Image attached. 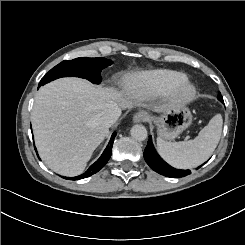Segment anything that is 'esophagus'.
I'll use <instances>...</instances> for the list:
<instances>
[{
	"label": "esophagus",
	"mask_w": 245,
	"mask_h": 245,
	"mask_svg": "<svg viewBox=\"0 0 245 245\" xmlns=\"http://www.w3.org/2000/svg\"><path fill=\"white\" fill-rule=\"evenodd\" d=\"M149 117L150 115L147 112L139 111L134 115L133 121L135 123L147 122L149 120Z\"/></svg>",
	"instance_id": "obj_1"
}]
</instances>
